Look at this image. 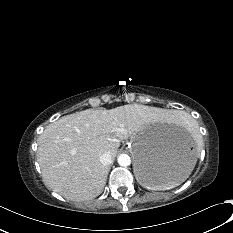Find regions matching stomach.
I'll return each mask as SVG.
<instances>
[{
  "label": "stomach",
  "instance_id": "1",
  "mask_svg": "<svg viewBox=\"0 0 233 233\" xmlns=\"http://www.w3.org/2000/svg\"><path fill=\"white\" fill-rule=\"evenodd\" d=\"M130 142L134 173L144 187L182 182L196 164L195 142L185 133L151 124L136 132Z\"/></svg>",
  "mask_w": 233,
  "mask_h": 233
}]
</instances>
